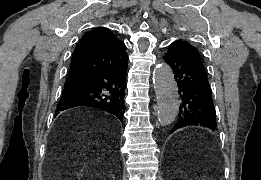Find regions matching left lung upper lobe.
Returning a JSON list of instances; mask_svg holds the SVG:
<instances>
[{
	"instance_id": "1",
	"label": "left lung upper lobe",
	"mask_w": 261,
	"mask_h": 180,
	"mask_svg": "<svg viewBox=\"0 0 261 180\" xmlns=\"http://www.w3.org/2000/svg\"><path fill=\"white\" fill-rule=\"evenodd\" d=\"M172 44H177L182 47H185L190 52L191 56H193L194 60L202 64L200 55L195 47H193L189 43L183 42V41H176Z\"/></svg>"
}]
</instances>
